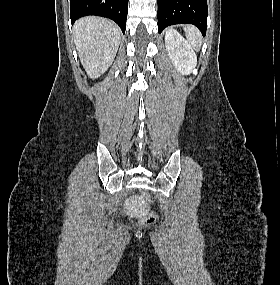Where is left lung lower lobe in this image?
<instances>
[{
    "label": "left lung lower lobe",
    "instance_id": "1",
    "mask_svg": "<svg viewBox=\"0 0 280 285\" xmlns=\"http://www.w3.org/2000/svg\"><path fill=\"white\" fill-rule=\"evenodd\" d=\"M158 32L174 24L189 23L206 34L207 0H157Z\"/></svg>",
    "mask_w": 280,
    "mask_h": 285
}]
</instances>
